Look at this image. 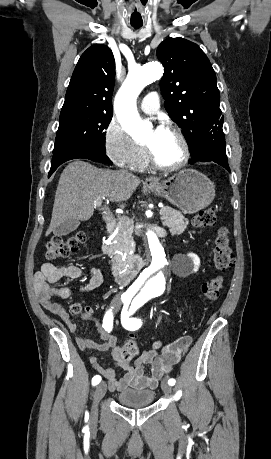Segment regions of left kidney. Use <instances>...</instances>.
<instances>
[{
	"mask_svg": "<svg viewBox=\"0 0 271 459\" xmlns=\"http://www.w3.org/2000/svg\"><path fill=\"white\" fill-rule=\"evenodd\" d=\"M187 261L190 265L189 273H192V271H198V267L200 265V259L198 255H196V253H188Z\"/></svg>",
	"mask_w": 271,
	"mask_h": 459,
	"instance_id": "1",
	"label": "left kidney"
}]
</instances>
